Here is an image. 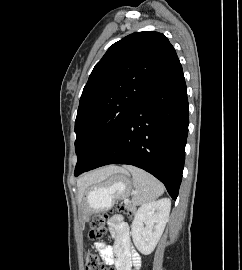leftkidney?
Masks as SVG:
<instances>
[{"mask_svg":"<svg viewBox=\"0 0 242 270\" xmlns=\"http://www.w3.org/2000/svg\"><path fill=\"white\" fill-rule=\"evenodd\" d=\"M170 208L171 201L163 198L143 204L137 210L131 234L136 248L143 255H149L154 251L168 221Z\"/></svg>","mask_w":242,"mask_h":270,"instance_id":"5707ae66","label":"left kidney"}]
</instances>
